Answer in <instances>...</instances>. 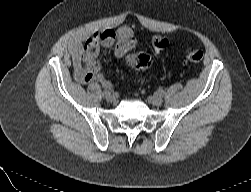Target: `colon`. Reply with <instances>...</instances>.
Instances as JSON below:
<instances>
[{"label":"colon","mask_w":251,"mask_h":192,"mask_svg":"<svg viewBox=\"0 0 251 192\" xmlns=\"http://www.w3.org/2000/svg\"><path fill=\"white\" fill-rule=\"evenodd\" d=\"M168 45V40L162 36H155L152 39V46L155 50H162ZM204 53L198 49H187L185 59L189 63L197 64L203 59ZM125 63L138 70H146L151 65V59L146 54H133L128 55L125 59Z\"/></svg>","instance_id":"colon-1"}]
</instances>
